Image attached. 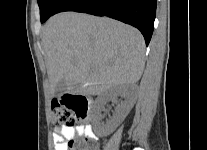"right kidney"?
<instances>
[{
  "instance_id": "right-kidney-1",
  "label": "right kidney",
  "mask_w": 207,
  "mask_h": 150,
  "mask_svg": "<svg viewBox=\"0 0 207 150\" xmlns=\"http://www.w3.org/2000/svg\"><path fill=\"white\" fill-rule=\"evenodd\" d=\"M130 90L127 86L120 85L111 88L110 90L99 95L95 101L94 113L97 117L100 116L101 110L104 105L109 101H116L117 97L123 95L124 97L129 96ZM132 105L129 101L123 102L121 105L117 106L113 119L110 121L107 127V132H113L125 119L131 110Z\"/></svg>"
}]
</instances>
